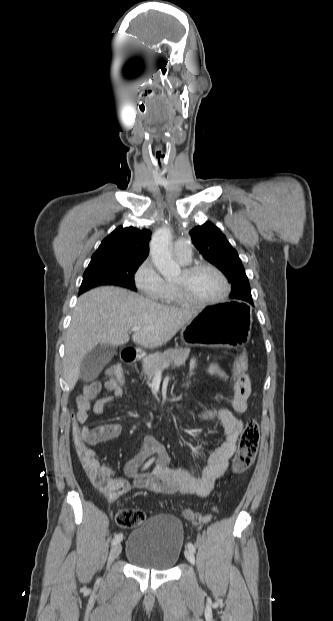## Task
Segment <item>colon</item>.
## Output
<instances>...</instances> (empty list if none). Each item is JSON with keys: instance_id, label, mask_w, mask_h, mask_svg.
<instances>
[{"instance_id": "1", "label": "colon", "mask_w": 333, "mask_h": 621, "mask_svg": "<svg viewBox=\"0 0 333 621\" xmlns=\"http://www.w3.org/2000/svg\"><path fill=\"white\" fill-rule=\"evenodd\" d=\"M247 366V355L242 352L238 355L235 362L232 386L247 374ZM107 375L115 379L122 388L126 384L124 373L117 365L108 368ZM199 417L204 421L217 420L218 410L203 411L199 414ZM72 433L77 456L90 482L106 497H109L114 492L113 481L97 460L94 452L88 447L87 441L81 434V428L75 420L72 423ZM259 439L258 423L251 419L247 422L239 439L238 450L232 467L235 474H242L253 465L259 447ZM186 517L194 524H202L208 520V517L201 516L192 511H187ZM144 519L145 514L139 509H123L118 512L116 523L122 528H132L140 525Z\"/></svg>"}]
</instances>
